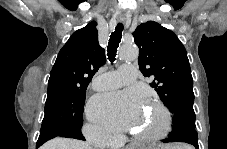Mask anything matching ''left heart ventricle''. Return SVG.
Instances as JSON below:
<instances>
[{
  "label": "left heart ventricle",
  "instance_id": "obj_1",
  "mask_svg": "<svg viewBox=\"0 0 227 149\" xmlns=\"http://www.w3.org/2000/svg\"><path fill=\"white\" fill-rule=\"evenodd\" d=\"M162 122L161 113L154 106L148 104L140 110L133 127L136 134H149L159 129Z\"/></svg>",
  "mask_w": 227,
  "mask_h": 149
}]
</instances>
